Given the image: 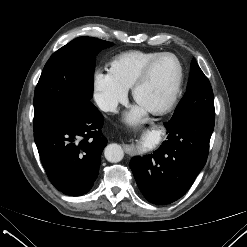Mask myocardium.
<instances>
[{
  "instance_id": "myocardium-1",
  "label": "myocardium",
  "mask_w": 247,
  "mask_h": 247,
  "mask_svg": "<svg viewBox=\"0 0 247 247\" xmlns=\"http://www.w3.org/2000/svg\"><path fill=\"white\" fill-rule=\"evenodd\" d=\"M164 57H172L176 61L177 66H178V75H177L175 86L173 88V91L170 97L163 104L159 106L145 108L148 112L155 114V115H161V114H165L169 112L174 107V105L176 104L179 98L181 87H182V82H183V67H182V64L179 58L175 54L170 53V52L160 53L159 55L154 57L152 60H150L145 65V67L142 69V71L140 72V74L138 75V77L136 78V80L134 81L131 87L132 98L136 103L139 104L138 102L139 89L148 79L155 64Z\"/></svg>"
}]
</instances>
